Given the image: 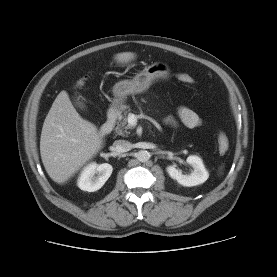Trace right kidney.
I'll return each mask as SVG.
<instances>
[{
	"label": "right kidney",
	"instance_id": "ca27d5eb",
	"mask_svg": "<svg viewBox=\"0 0 277 277\" xmlns=\"http://www.w3.org/2000/svg\"><path fill=\"white\" fill-rule=\"evenodd\" d=\"M113 168L108 163L88 164L81 172L77 185L83 191L94 192L99 190L111 176Z\"/></svg>",
	"mask_w": 277,
	"mask_h": 277
}]
</instances>
